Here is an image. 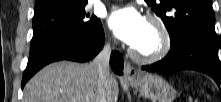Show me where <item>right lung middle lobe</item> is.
<instances>
[{"mask_svg":"<svg viewBox=\"0 0 221 102\" xmlns=\"http://www.w3.org/2000/svg\"><path fill=\"white\" fill-rule=\"evenodd\" d=\"M87 0H46L35 5L30 51L63 33H86L100 20L85 11Z\"/></svg>","mask_w":221,"mask_h":102,"instance_id":"obj_1","label":"right lung middle lobe"}]
</instances>
